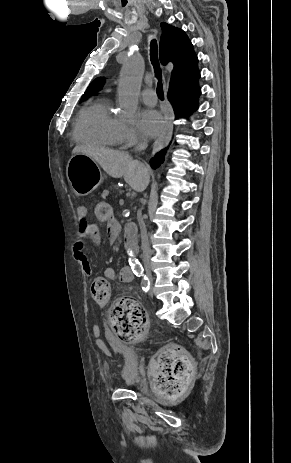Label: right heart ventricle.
Wrapping results in <instances>:
<instances>
[{"mask_svg":"<svg viewBox=\"0 0 291 463\" xmlns=\"http://www.w3.org/2000/svg\"><path fill=\"white\" fill-rule=\"evenodd\" d=\"M121 126V122L111 113L108 101L98 100L80 111L73 136L80 144L115 147L122 142Z\"/></svg>","mask_w":291,"mask_h":463,"instance_id":"1","label":"right heart ventricle"}]
</instances>
